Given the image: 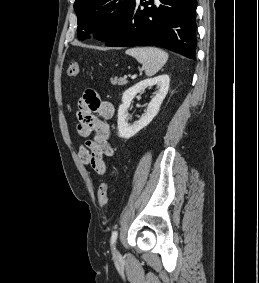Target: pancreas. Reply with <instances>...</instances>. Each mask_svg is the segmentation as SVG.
Segmentation results:
<instances>
[{
	"label": "pancreas",
	"mask_w": 259,
	"mask_h": 283,
	"mask_svg": "<svg viewBox=\"0 0 259 283\" xmlns=\"http://www.w3.org/2000/svg\"><path fill=\"white\" fill-rule=\"evenodd\" d=\"M111 83L114 85H118V86H123L126 85L128 83V81L125 78H111Z\"/></svg>",
	"instance_id": "obj_1"
}]
</instances>
